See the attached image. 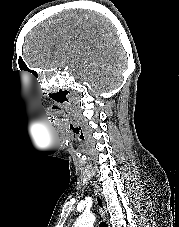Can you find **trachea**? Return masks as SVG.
<instances>
[{"label":"trachea","mask_w":179,"mask_h":227,"mask_svg":"<svg viewBox=\"0 0 179 227\" xmlns=\"http://www.w3.org/2000/svg\"><path fill=\"white\" fill-rule=\"evenodd\" d=\"M99 227H108V226L105 222L102 221V222H100Z\"/></svg>","instance_id":"3493384b"}]
</instances>
